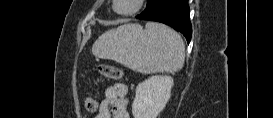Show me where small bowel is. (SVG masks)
Listing matches in <instances>:
<instances>
[{
	"label": "small bowel",
	"mask_w": 273,
	"mask_h": 118,
	"mask_svg": "<svg viewBox=\"0 0 273 118\" xmlns=\"http://www.w3.org/2000/svg\"><path fill=\"white\" fill-rule=\"evenodd\" d=\"M92 99L93 98H86ZM86 101V100H85ZM96 101V100H95ZM97 103V118H128V88L123 83L109 86L104 91L100 104Z\"/></svg>",
	"instance_id": "obj_1"
}]
</instances>
